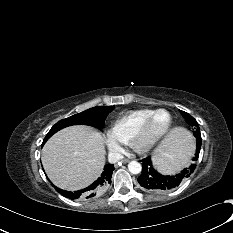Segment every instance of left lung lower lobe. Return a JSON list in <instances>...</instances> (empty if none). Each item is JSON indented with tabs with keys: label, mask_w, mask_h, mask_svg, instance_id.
Listing matches in <instances>:
<instances>
[{
	"label": "left lung lower lobe",
	"mask_w": 233,
	"mask_h": 233,
	"mask_svg": "<svg viewBox=\"0 0 233 233\" xmlns=\"http://www.w3.org/2000/svg\"><path fill=\"white\" fill-rule=\"evenodd\" d=\"M200 149L201 141L197 142L194 160H198ZM142 162V174L138 178V182L142 187L153 191H166L178 187L196 168V164H192L189 168H185L180 173L169 176L162 175L154 169L150 157L143 159Z\"/></svg>",
	"instance_id": "obj_1"
}]
</instances>
